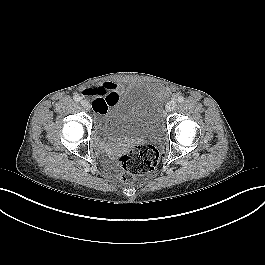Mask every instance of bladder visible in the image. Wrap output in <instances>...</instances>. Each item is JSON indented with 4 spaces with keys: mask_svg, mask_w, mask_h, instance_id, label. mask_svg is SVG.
Segmentation results:
<instances>
[{
    "mask_svg": "<svg viewBox=\"0 0 265 265\" xmlns=\"http://www.w3.org/2000/svg\"><path fill=\"white\" fill-rule=\"evenodd\" d=\"M164 114L157 89L147 82L127 85L101 117L96 134L108 140L157 138L163 132Z\"/></svg>",
    "mask_w": 265,
    "mask_h": 265,
    "instance_id": "31cf9c89",
    "label": "bladder"
}]
</instances>
